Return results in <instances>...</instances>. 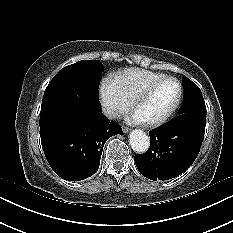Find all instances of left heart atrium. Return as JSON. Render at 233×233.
Here are the masks:
<instances>
[{"instance_id": "obj_1", "label": "left heart atrium", "mask_w": 233, "mask_h": 233, "mask_svg": "<svg viewBox=\"0 0 233 233\" xmlns=\"http://www.w3.org/2000/svg\"><path fill=\"white\" fill-rule=\"evenodd\" d=\"M127 121L129 123L138 124L143 123L145 120L136 111H134L127 117Z\"/></svg>"}]
</instances>
